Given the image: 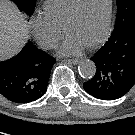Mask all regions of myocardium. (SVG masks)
<instances>
[{
  "label": "myocardium",
  "mask_w": 135,
  "mask_h": 135,
  "mask_svg": "<svg viewBox=\"0 0 135 135\" xmlns=\"http://www.w3.org/2000/svg\"><path fill=\"white\" fill-rule=\"evenodd\" d=\"M83 2L84 0H77L72 12L67 17L64 27H63L66 33H67V29L70 23L79 15ZM112 15H113V0H108V11H107V19H106L105 28L102 34L97 39H95L94 41L86 45L88 48H93L95 46L100 45L109 36L111 27H112Z\"/></svg>",
  "instance_id": "1"
}]
</instances>
